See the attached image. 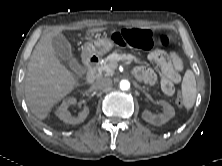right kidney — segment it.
<instances>
[{
	"label": "right kidney",
	"mask_w": 222,
	"mask_h": 166,
	"mask_svg": "<svg viewBox=\"0 0 222 166\" xmlns=\"http://www.w3.org/2000/svg\"><path fill=\"white\" fill-rule=\"evenodd\" d=\"M77 100L74 97H70L65 99L60 107L56 110L55 114L56 116L65 122L66 124H79L82 123L86 117L89 114V108L84 107L83 110L78 114L77 117L71 116L70 112L68 111V108L71 105L76 104Z\"/></svg>",
	"instance_id": "obj_1"
}]
</instances>
